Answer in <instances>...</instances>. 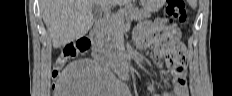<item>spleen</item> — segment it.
<instances>
[{
	"label": "spleen",
	"instance_id": "spleen-1",
	"mask_svg": "<svg viewBox=\"0 0 232 96\" xmlns=\"http://www.w3.org/2000/svg\"><path fill=\"white\" fill-rule=\"evenodd\" d=\"M189 5L191 8L196 9L197 7V1L196 0H188Z\"/></svg>",
	"mask_w": 232,
	"mask_h": 96
}]
</instances>
